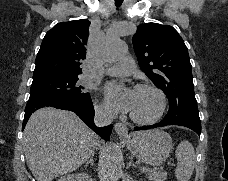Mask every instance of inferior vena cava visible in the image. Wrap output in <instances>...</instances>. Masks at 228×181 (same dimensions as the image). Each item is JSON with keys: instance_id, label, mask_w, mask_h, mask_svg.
<instances>
[{"instance_id": "1", "label": "inferior vena cava", "mask_w": 228, "mask_h": 181, "mask_svg": "<svg viewBox=\"0 0 228 181\" xmlns=\"http://www.w3.org/2000/svg\"><path fill=\"white\" fill-rule=\"evenodd\" d=\"M113 121V115L105 111L103 107H95L94 123L97 127H105V125H111Z\"/></svg>"}]
</instances>
